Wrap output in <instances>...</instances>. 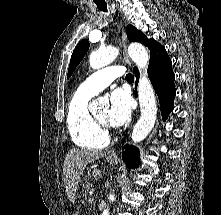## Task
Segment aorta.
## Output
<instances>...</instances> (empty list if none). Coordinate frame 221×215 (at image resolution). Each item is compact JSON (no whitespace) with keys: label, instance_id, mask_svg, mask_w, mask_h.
<instances>
[{"label":"aorta","instance_id":"1","mask_svg":"<svg viewBox=\"0 0 221 215\" xmlns=\"http://www.w3.org/2000/svg\"><path fill=\"white\" fill-rule=\"evenodd\" d=\"M118 54L119 49L111 46L92 52L89 57L90 66L93 69L105 67L113 62ZM128 54L141 71L138 84V99L141 117L132 131V140L134 143H138L152 130L156 120L157 106L154 90L147 75V66L149 63L148 51L142 44L132 43L128 47ZM99 106L100 100H95L91 105V109L95 110ZM109 198H114V194H110ZM101 215H109V209H104Z\"/></svg>","mask_w":221,"mask_h":215}]
</instances>
